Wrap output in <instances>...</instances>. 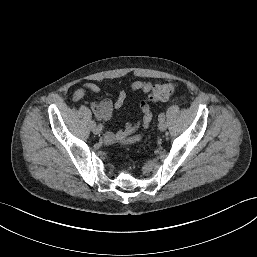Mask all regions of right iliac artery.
<instances>
[{"instance_id":"1","label":"right iliac artery","mask_w":257,"mask_h":257,"mask_svg":"<svg viewBox=\"0 0 257 257\" xmlns=\"http://www.w3.org/2000/svg\"><path fill=\"white\" fill-rule=\"evenodd\" d=\"M95 126H96V122L93 120V121H92V128L95 127ZM99 126L102 128V125H101V124H99Z\"/></svg>"}]
</instances>
